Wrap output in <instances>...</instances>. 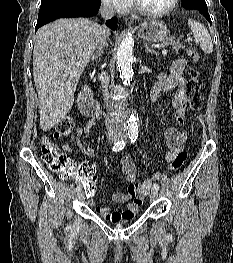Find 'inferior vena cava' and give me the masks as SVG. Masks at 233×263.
<instances>
[{
    "mask_svg": "<svg viewBox=\"0 0 233 263\" xmlns=\"http://www.w3.org/2000/svg\"><path fill=\"white\" fill-rule=\"evenodd\" d=\"M115 10L113 4L109 0H104L100 7V15L104 19H110L114 16ZM100 37L97 41L96 47L97 51H101L104 46H107V38L109 35V29L105 26H100ZM102 76V91L104 96V101L108 103V84L109 77L105 73L101 74ZM109 111L113 110V104H107ZM106 127L108 131L118 130L123 128L122 120L119 117L110 115L106 121Z\"/></svg>",
    "mask_w": 233,
    "mask_h": 263,
    "instance_id": "inferior-vena-cava-1",
    "label": "inferior vena cava"
}]
</instances>
